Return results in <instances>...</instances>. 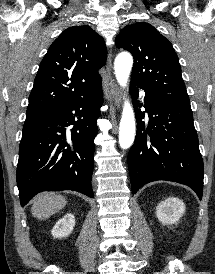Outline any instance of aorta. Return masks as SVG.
Segmentation results:
<instances>
[{"label":"aorta","mask_w":215,"mask_h":274,"mask_svg":"<svg viewBox=\"0 0 215 274\" xmlns=\"http://www.w3.org/2000/svg\"><path fill=\"white\" fill-rule=\"evenodd\" d=\"M133 58L127 53H120L114 62L115 75L118 83L125 87L132 69ZM135 138V116L128 100L124 102L119 128V144L123 149L129 148Z\"/></svg>","instance_id":"762f6f07"}]
</instances>
